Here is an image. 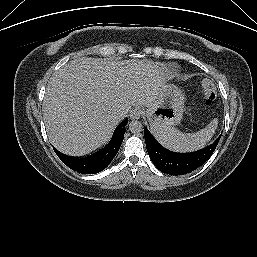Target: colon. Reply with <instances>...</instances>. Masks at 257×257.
Wrapping results in <instances>:
<instances>
[{"label":"colon","mask_w":257,"mask_h":257,"mask_svg":"<svg viewBox=\"0 0 257 257\" xmlns=\"http://www.w3.org/2000/svg\"><path fill=\"white\" fill-rule=\"evenodd\" d=\"M203 101L205 105H211L217 96V90L210 79H204L201 83Z\"/></svg>","instance_id":"colon-1"}]
</instances>
